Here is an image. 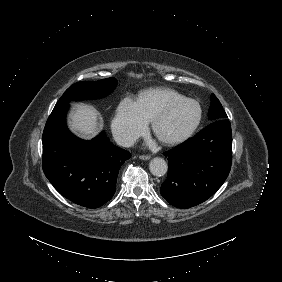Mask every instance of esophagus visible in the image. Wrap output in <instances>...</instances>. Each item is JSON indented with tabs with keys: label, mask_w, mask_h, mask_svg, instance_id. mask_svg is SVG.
I'll list each match as a JSON object with an SVG mask.
<instances>
[{
	"label": "esophagus",
	"mask_w": 282,
	"mask_h": 282,
	"mask_svg": "<svg viewBox=\"0 0 282 282\" xmlns=\"http://www.w3.org/2000/svg\"><path fill=\"white\" fill-rule=\"evenodd\" d=\"M139 158L141 160H149L151 157L149 155H140Z\"/></svg>",
	"instance_id": "obj_1"
}]
</instances>
